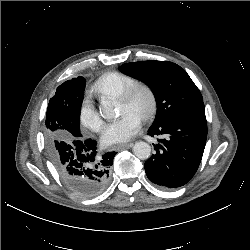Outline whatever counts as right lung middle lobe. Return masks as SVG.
<instances>
[{"label":"right lung middle lobe","instance_id":"1","mask_svg":"<svg viewBox=\"0 0 250 250\" xmlns=\"http://www.w3.org/2000/svg\"><path fill=\"white\" fill-rule=\"evenodd\" d=\"M85 90L83 77L61 84L50 99L45 122V142L50 157L57 152V144L82 137L79 114Z\"/></svg>","mask_w":250,"mask_h":250}]
</instances>
